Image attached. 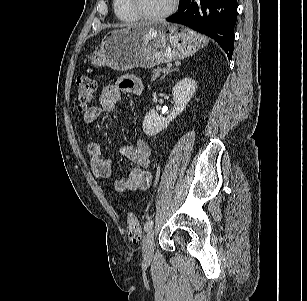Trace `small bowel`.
<instances>
[{
  "label": "small bowel",
  "instance_id": "1",
  "mask_svg": "<svg viewBox=\"0 0 307 301\" xmlns=\"http://www.w3.org/2000/svg\"><path fill=\"white\" fill-rule=\"evenodd\" d=\"M142 91V81L133 75L123 76L115 85L104 86L99 96V104L85 111L84 122L92 124L102 113L114 111L123 93L140 95ZM87 151L90 155V168L95 177L100 180L110 178L113 163L104 155L100 143L94 140L90 141L87 145ZM120 153L135 166L129 170L126 176H120L115 180V190L117 192H134L148 188L152 181V173L149 169L151 146L145 140L138 139L135 145L122 146Z\"/></svg>",
  "mask_w": 307,
  "mask_h": 301
}]
</instances>
